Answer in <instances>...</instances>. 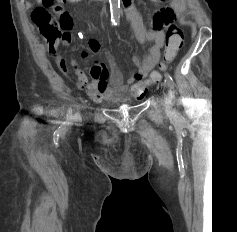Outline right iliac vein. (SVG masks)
<instances>
[{
	"instance_id": "63e3f726",
	"label": "right iliac vein",
	"mask_w": 237,
	"mask_h": 232,
	"mask_svg": "<svg viewBox=\"0 0 237 232\" xmlns=\"http://www.w3.org/2000/svg\"><path fill=\"white\" fill-rule=\"evenodd\" d=\"M78 117H79V113H76V114H75V118H78Z\"/></svg>"
}]
</instances>
